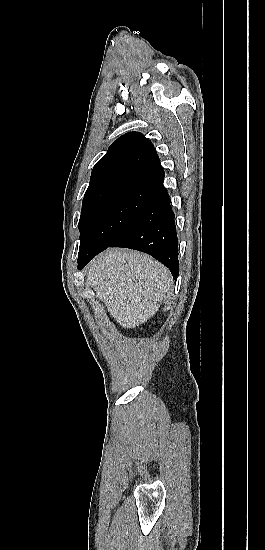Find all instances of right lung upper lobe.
Segmentation results:
<instances>
[{
    "instance_id": "right-lung-upper-lobe-1",
    "label": "right lung upper lobe",
    "mask_w": 265,
    "mask_h": 550,
    "mask_svg": "<svg viewBox=\"0 0 265 550\" xmlns=\"http://www.w3.org/2000/svg\"><path fill=\"white\" fill-rule=\"evenodd\" d=\"M164 170L156 150L141 133L119 137L92 170L84 199L125 187L159 186Z\"/></svg>"
}]
</instances>
